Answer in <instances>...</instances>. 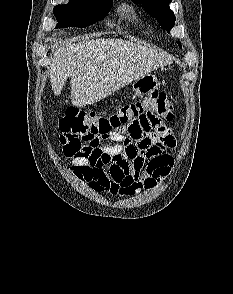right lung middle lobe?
<instances>
[{
	"instance_id": "right-lung-middle-lobe-1",
	"label": "right lung middle lobe",
	"mask_w": 233,
	"mask_h": 294,
	"mask_svg": "<svg viewBox=\"0 0 233 294\" xmlns=\"http://www.w3.org/2000/svg\"><path fill=\"white\" fill-rule=\"evenodd\" d=\"M112 5L113 0H70L69 4L57 5L53 9L56 28L89 26L104 18Z\"/></svg>"
}]
</instances>
